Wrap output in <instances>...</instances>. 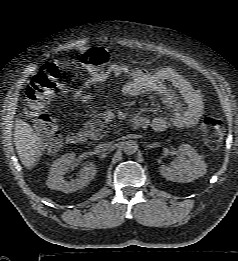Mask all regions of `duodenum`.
Returning a JSON list of instances; mask_svg holds the SVG:
<instances>
[{
  "label": "duodenum",
  "instance_id": "obj_1",
  "mask_svg": "<svg viewBox=\"0 0 238 261\" xmlns=\"http://www.w3.org/2000/svg\"><path fill=\"white\" fill-rule=\"evenodd\" d=\"M146 125V119L144 117H135L132 119V126L139 128ZM85 137L82 133H70L66 137V142L72 146H78L83 144Z\"/></svg>",
  "mask_w": 238,
  "mask_h": 261
}]
</instances>
